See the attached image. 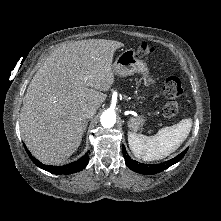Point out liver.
<instances>
[{
	"mask_svg": "<svg viewBox=\"0 0 221 221\" xmlns=\"http://www.w3.org/2000/svg\"><path fill=\"white\" fill-rule=\"evenodd\" d=\"M122 46L114 40H81L62 44L46 58L20 113L24 142L38 160L58 165L77 150L86 123L82 109L105 101L103 92L115 81L113 55Z\"/></svg>",
	"mask_w": 221,
	"mask_h": 221,
	"instance_id": "liver-1",
	"label": "liver"
}]
</instances>
